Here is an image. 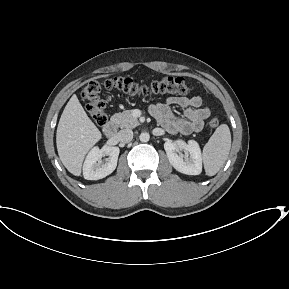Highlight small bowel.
I'll use <instances>...</instances> for the list:
<instances>
[{
	"instance_id": "c3829d8e",
	"label": "small bowel",
	"mask_w": 289,
	"mask_h": 289,
	"mask_svg": "<svg viewBox=\"0 0 289 289\" xmlns=\"http://www.w3.org/2000/svg\"><path fill=\"white\" fill-rule=\"evenodd\" d=\"M173 105L184 109V118L173 114L171 110ZM150 113L169 133L190 134L199 132L203 128L210 110L203 106L200 96H172L165 101L152 104Z\"/></svg>"
}]
</instances>
